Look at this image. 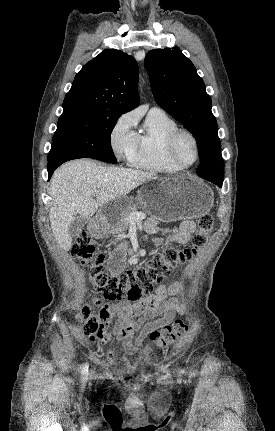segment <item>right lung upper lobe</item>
Listing matches in <instances>:
<instances>
[{
    "label": "right lung upper lobe",
    "instance_id": "right-lung-upper-lobe-1",
    "mask_svg": "<svg viewBox=\"0 0 275 431\" xmlns=\"http://www.w3.org/2000/svg\"><path fill=\"white\" fill-rule=\"evenodd\" d=\"M138 65L132 56L107 49L77 73L63 102V115L123 114L139 105Z\"/></svg>",
    "mask_w": 275,
    "mask_h": 431
}]
</instances>
